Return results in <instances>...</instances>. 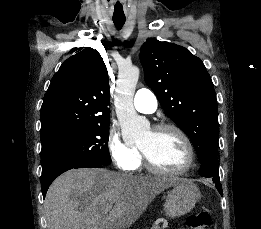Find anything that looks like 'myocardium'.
Returning a JSON list of instances; mask_svg holds the SVG:
<instances>
[{
  "instance_id": "f54148a6",
  "label": "myocardium",
  "mask_w": 261,
  "mask_h": 229,
  "mask_svg": "<svg viewBox=\"0 0 261 229\" xmlns=\"http://www.w3.org/2000/svg\"><path fill=\"white\" fill-rule=\"evenodd\" d=\"M164 130H171V131L175 132L181 138V140L186 148V152H187V161H186L185 165L179 170L170 171V170L162 169L159 166H157L150 159V157L147 155V153L139 146V150L141 152L144 164L149 171H151L155 174H158V175H162V176L183 175L191 169V167L194 163L195 153H194L193 145H192L189 137L187 136V134L181 128H179L178 126L173 125V124H169V123L158 124L151 129V132L159 133Z\"/></svg>"
}]
</instances>
